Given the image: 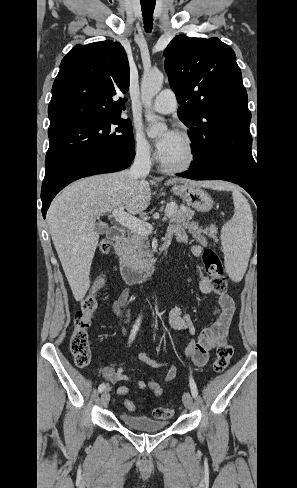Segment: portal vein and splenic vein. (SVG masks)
Listing matches in <instances>:
<instances>
[{
  "label": "portal vein and splenic vein",
  "instance_id": "1",
  "mask_svg": "<svg viewBox=\"0 0 297 488\" xmlns=\"http://www.w3.org/2000/svg\"><path fill=\"white\" fill-rule=\"evenodd\" d=\"M175 209L173 204H168L165 208V216L164 220H168L170 217V213ZM112 216L115 218L123 226L129 228L133 232H137L139 234L149 235L153 231V227L151 224L147 222H143L134 216L127 214L124 211V206H120L112 211Z\"/></svg>",
  "mask_w": 297,
  "mask_h": 488
}]
</instances>
